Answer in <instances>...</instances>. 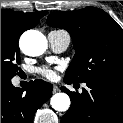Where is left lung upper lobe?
Segmentation results:
<instances>
[{
    "instance_id": "left-lung-upper-lobe-1",
    "label": "left lung upper lobe",
    "mask_w": 123,
    "mask_h": 123,
    "mask_svg": "<svg viewBox=\"0 0 123 123\" xmlns=\"http://www.w3.org/2000/svg\"><path fill=\"white\" fill-rule=\"evenodd\" d=\"M47 24L71 34L76 53L65 78L79 83L123 79V29L107 13L94 7L53 12Z\"/></svg>"
}]
</instances>
